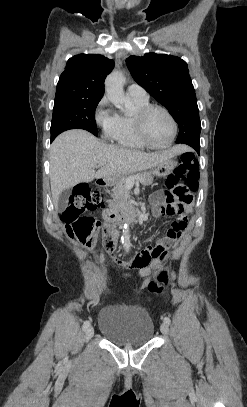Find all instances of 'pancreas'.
Wrapping results in <instances>:
<instances>
[{"mask_svg": "<svg viewBox=\"0 0 247 407\" xmlns=\"http://www.w3.org/2000/svg\"><path fill=\"white\" fill-rule=\"evenodd\" d=\"M128 178H134L139 180L144 186L151 185L153 183V177L149 173H138L130 176L121 177V179L115 184L112 189L111 205L115 207L126 206L129 207V190L126 186V180Z\"/></svg>", "mask_w": 247, "mask_h": 407, "instance_id": "pancreas-1", "label": "pancreas"}]
</instances>
